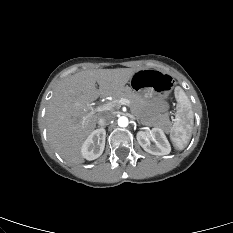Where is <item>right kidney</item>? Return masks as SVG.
Returning <instances> with one entry per match:
<instances>
[{"instance_id":"right-kidney-1","label":"right kidney","mask_w":233,"mask_h":233,"mask_svg":"<svg viewBox=\"0 0 233 233\" xmlns=\"http://www.w3.org/2000/svg\"><path fill=\"white\" fill-rule=\"evenodd\" d=\"M105 129L94 130L84 141L81 147V154L87 160H94L100 157L105 147Z\"/></svg>"}]
</instances>
